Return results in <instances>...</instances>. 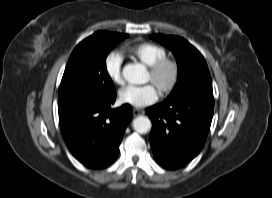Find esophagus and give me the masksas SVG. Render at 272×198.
Here are the masks:
<instances>
[{
  "mask_svg": "<svg viewBox=\"0 0 272 198\" xmlns=\"http://www.w3.org/2000/svg\"><path fill=\"white\" fill-rule=\"evenodd\" d=\"M143 113H144V111L142 109H139V108H134L133 109L134 116H139V115H141Z\"/></svg>",
  "mask_w": 272,
  "mask_h": 198,
  "instance_id": "obj_1",
  "label": "esophagus"
}]
</instances>
